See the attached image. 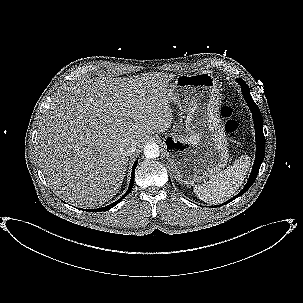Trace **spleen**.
I'll return each mask as SVG.
<instances>
[{"label":"spleen","instance_id":"obj_1","mask_svg":"<svg viewBox=\"0 0 303 303\" xmlns=\"http://www.w3.org/2000/svg\"><path fill=\"white\" fill-rule=\"evenodd\" d=\"M250 157L242 155L232 166L214 175L209 181L196 185L194 193L197 197L210 204H219L234 195L243 184L251 165Z\"/></svg>","mask_w":303,"mask_h":303}]
</instances>
